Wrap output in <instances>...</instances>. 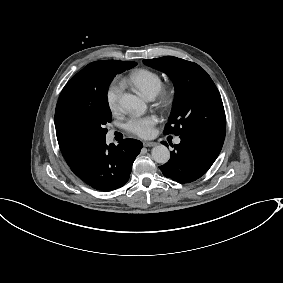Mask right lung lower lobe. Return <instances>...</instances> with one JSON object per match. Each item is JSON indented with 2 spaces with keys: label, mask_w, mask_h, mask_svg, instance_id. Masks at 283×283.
I'll return each mask as SVG.
<instances>
[{
  "label": "right lung lower lobe",
  "mask_w": 283,
  "mask_h": 283,
  "mask_svg": "<svg viewBox=\"0 0 283 283\" xmlns=\"http://www.w3.org/2000/svg\"><path fill=\"white\" fill-rule=\"evenodd\" d=\"M142 146V143L135 139H125L117 146L107 145L103 140L70 168L94 189L111 191L126 184L132 164Z\"/></svg>",
  "instance_id": "obj_1"
}]
</instances>
